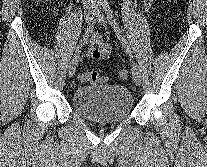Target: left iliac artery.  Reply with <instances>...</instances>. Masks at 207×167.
Listing matches in <instances>:
<instances>
[{
	"instance_id": "1",
	"label": "left iliac artery",
	"mask_w": 207,
	"mask_h": 167,
	"mask_svg": "<svg viewBox=\"0 0 207 167\" xmlns=\"http://www.w3.org/2000/svg\"><path fill=\"white\" fill-rule=\"evenodd\" d=\"M103 7H104V10L106 12V15H107V19L110 23V25L112 26V28L114 29L115 33L117 34L120 42L122 43L123 47L125 48L126 52L131 56H132V51H131V48L128 44V41L126 40L122 30L120 29L117 21L115 20L113 14H112V11L110 9V6L107 2H104L103 3Z\"/></svg>"
}]
</instances>
